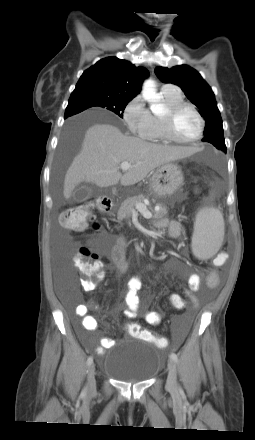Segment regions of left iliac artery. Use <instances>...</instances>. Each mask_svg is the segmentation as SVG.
I'll return each mask as SVG.
<instances>
[{"label":"left iliac artery","instance_id":"1","mask_svg":"<svg viewBox=\"0 0 255 440\" xmlns=\"http://www.w3.org/2000/svg\"><path fill=\"white\" fill-rule=\"evenodd\" d=\"M170 357L174 362H178V356L175 353H171Z\"/></svg>","mask_w":255,"mask_h":440}]
</instances>
